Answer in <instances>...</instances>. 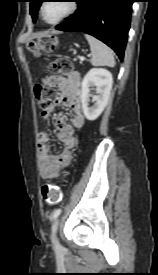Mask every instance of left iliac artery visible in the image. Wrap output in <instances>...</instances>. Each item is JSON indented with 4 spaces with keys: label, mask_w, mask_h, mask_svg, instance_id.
I'll return each instance as SVG.
<instances>
[{
    "label": "left iliac artery",
    "mask_w": 158,
    "mask_h": 275,
    "mask_svg": "<svg viewBox=\"0 0 158 275\" xmlns=\"http://www.w3.org/2000/svg\"><path fill=\"white\" fill-rule=\"evenodd\" d=\"M60 213H61V209H60V208L57 209V210H55V211L52 213V215H51V219H52V220H55V219L60 215Z\"/></svg>",
    "instance_id": "left-iliac-artery-1"
}]
</instances>
